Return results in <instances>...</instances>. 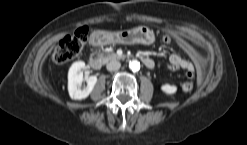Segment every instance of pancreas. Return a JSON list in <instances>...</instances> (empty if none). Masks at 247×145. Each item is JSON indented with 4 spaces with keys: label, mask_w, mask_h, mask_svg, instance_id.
Segmentation results:
<instances>
[{
    "label": "pancreas",
    "mask_w": 247,
    "mask_h": 145,
    "mask_svg": "<svg viewBox=\"0 0 247 145\" xmlns=\"http://www.w3.org/2000/svg\"><path fill=\"white\" fill-rule=\"evenodd\" d=\"M99 58L104 62L107 63L108 61L112 59H118L119 56L115 53H105V54H100Z\"/></svg>",
    "instance_id": "1"
}]
</instances>
